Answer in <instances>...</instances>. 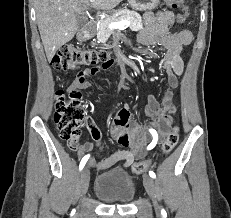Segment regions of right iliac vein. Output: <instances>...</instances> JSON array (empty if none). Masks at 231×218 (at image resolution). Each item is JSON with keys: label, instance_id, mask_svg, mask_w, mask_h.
<instances>
[{"label": "right iliac vein", "instance_id": "obj_1", "mask_svg": "<svg viewBox=\"0 0 231 218\" xmlns=\"http://www.w3.org/2000/svg\"><path fill=\"white\" fill-rule=\"evenodd\" d=\"M89 181H90V171L88 167H85L82 170L81 177H80V190L81 194L84 195L89 187Z\"/></svg>", "mask_w": 231, "mask_h": 218}]
</instances>
